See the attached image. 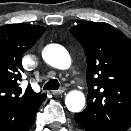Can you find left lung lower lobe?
Here are the masks:
<instances>
[{
  "mask_svg": "<svg viewBox=\"0 0 131 131\" xmlns=\"http://www.w3.org/2000/svg\"><path fill=\"white\" fill-rule=\"evenodd\" d=\"M75 121L81 125L86 131H102L101 129L95 127L93 124L87 120V118L82 113H77L74 115Z\"/></svg>",
  "mask_w": 131,
  "mask_h": 131,
  "instance_id": "0a47b994",
  "label": "left lung lower lobe"
}]
</instances>
